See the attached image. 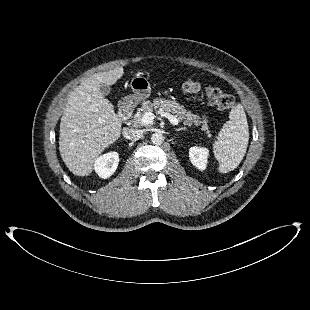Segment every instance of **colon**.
<instances>
[{
  "label": "colon",
  "mask_w": 310,
  "mask_h": 310,
  "mask_svg": "<svg viewBox=\"0 0 310 310\" xmlns=\"http://www.w3.org/2000/svg\"><path fill=\"white\" fill-rule=\"evenodd\" d=\"M182 91L189 96L200 93L204 94L208 102L221 111H229L235 106V99L232 95L216 87H202L201 84L194 79L186 80L182 84Z\"/></svg>",
  "instance_id": "obj_1"
}]
</instances>
